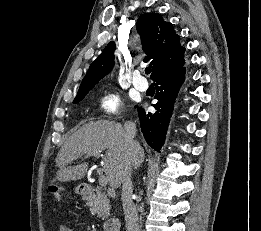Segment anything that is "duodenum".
I'll return each instance as SVG.
<instances>
[{
	"instance_id": "410a0bca",
	"label": "duodenum",
	"mask_w": 261,
	"mask_h": 231,
	"mask_svg": "<svg viewBox=\"0 0 261 231\" xmlns=\"http://www.w3.org/2000/svg\"><path fill=\"white\" fill-rule=\"evenodd\" d=\"M83 195H91L94 192V187L91 185H84L80 190ZM107 231H120V221L117 218H111L106 224Z\"/></svg>"
}]
</instances>
